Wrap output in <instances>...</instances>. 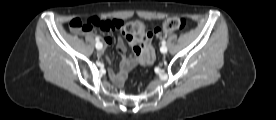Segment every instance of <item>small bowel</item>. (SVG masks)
<instances>
[{"label":"small bowel","mask_w":276,"mask_h":120,"mask_svg":"<svg viewBox=\"0 0 276 120\" xmlns=\"http://www.w3.org/2000/svg\"><path fill=\"white\" fill-rule=\"evenodd\" d=\"M110 22V28L106 30L107 35L104 37V43L111 45L113 38L111 33L120 31V25L122 24L119 20H108ZM129 45L133 48V54L131 57H126V47L122 39L118 40L117 52L122 57L120 63L119 72L113 76L116 82L122 80V78L137 64H150L154 59V49L150 35L144 39H128ZM139 51V52H138Z\"/></svg>","instance_id":"obj_1"}]
</instances>
